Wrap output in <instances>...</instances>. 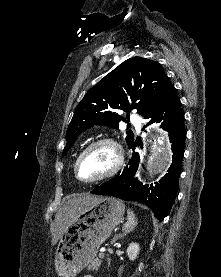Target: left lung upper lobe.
<instances>
[{
    "label": "left lung upper lobe",
    "mask_w": 221,
    "mask_h": 277,
    "mask_svg": "<svg viewBox=\"0 0 221 277\" xmlns=\"http://www.w3.org/2000/svg\"><path fill=\"white\" fill-rule=\"evenodd\" d=\"M174 90L156 61L141 57L124 61L91 88L77 105L67 129L63 155L87 128L105 125L119 129V123L125 119L118 110L129 114L131 109H137L145 119L150 118ZM126 141L129 147L134 143L131 130Z\"/></svg>",
    "instance_id": "left-lung-upper-lobe-1"
}]
</instances>
